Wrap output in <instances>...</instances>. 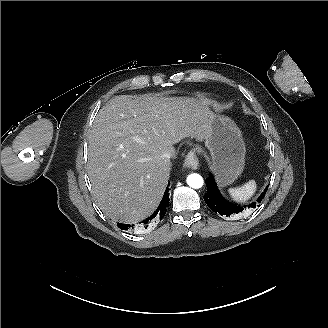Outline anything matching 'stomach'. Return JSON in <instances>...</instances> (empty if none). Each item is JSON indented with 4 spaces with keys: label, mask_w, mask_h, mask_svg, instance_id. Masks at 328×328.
Wrapping results in <instances>:
<instances>
[{
    "label": "stomach",
    "mask_w": 328,
    "mask_h": 328,
    "mask_svg": "<svg viewBox=\"0 0 328 328\" xmlns=\"http://www.w3.org/2000/svg\"><path fill=\"white\" fill-rule=\"evenodd\" d=\"M204 145L209 150L210 169L219 186L232 184L245 165L246 145L240 128L230 117L209 109Z\"/></svg>",
    "instance_id": "stomach-1"
}]
</instances>
